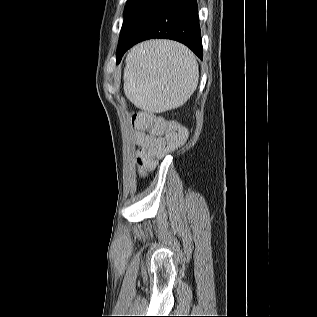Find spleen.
<instances>
[{"instance_id": "3e777b00", "label": "spleen", "mask_w": 317, "mask_h": 317, "mask_svg": "<svg viewBox=\"0 0 317 317\" xmlns=\"http://www.w3.org/2000/svg\"><path fill=\"white\" fill-rule=\"evenodd\" d=\"M198 78L195 55L187 47L152 40L127 55L124 92L136 107L164 112L183 105L195 91Z\"/></svg>"}]
</instances>
